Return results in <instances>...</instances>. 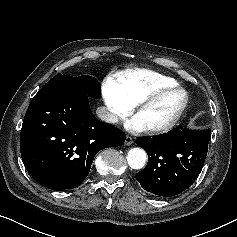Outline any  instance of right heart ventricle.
I'll list each match as a JSON object with an SVG mask.
<instances>
[{
    "mask_svg": "<svg viewBox=\"0 0 237 237\" xmlns=\"http://www.w3.org/2000/svg\"><path fill=\"white\" fill-rule=\"evenodd\" d=\"M113 80L123 96L132 105H136L161 88L177 84L171 77L144 69L119 72L113 76Z\"/></svg>",
    "mask_w": 237,
    "mask_h": 237,
    "instance_id": "1",
    "label": "right heart ventricle"
}]
</instances>
